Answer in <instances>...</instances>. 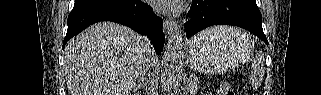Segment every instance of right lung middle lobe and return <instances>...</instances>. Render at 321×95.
<instances>
[{
	"label": "right lung middle lobe",
	"instance_id": "1",
	"mask_svg": "<svg viewBox=\"0 0 321 95\" xmlns=\"http://www.w3.org/2000/svg\"><path fill=\"white\" fill-rule=\"evenodd\" d=\"M112 1H129V0H75L74 6L98 4V3L112 2Z\"/></svg>",
	"mask_w": 321,
	"mask_h": 95
}]
</instances>
